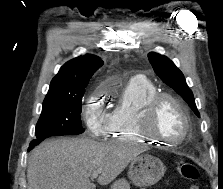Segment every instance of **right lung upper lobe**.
<instances>
[{
    "instance_id": "cb5924a9",
    "label": "right lung upper lobe",
    "mask_w": 223,
    "mask_h": 189,
    "mask_svg": "<svg viewBox=\"0 0 223 189\" xmlns=\"http://www.w3.org/2000/svg\"><path fill=\"white\" fill-rule=\"evenodd\" d=\"M102 65L103 61L91 54L66 62L52 79L47 95L72 94L84 89Z\"/></svg>"
}]
</instances>
